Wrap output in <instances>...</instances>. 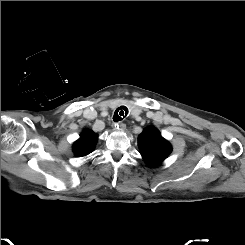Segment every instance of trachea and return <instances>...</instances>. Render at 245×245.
Wrapping results in <instances>:
<instances>
[{
    "mask_svg": "<svg viewBox=\"0 0 245 245\" xmlns=\"http://www.w3.org/2000/svg\"><path fill=\"white\" fill-rule=\"evenodd\" d=\"M128 115V108L126 106H120L115 110L113 120L115 122L121 121Z\"/></svg>",
    "mask_w": 245,
    "mask_h": 245,
    "instance_id": "3493384b",
    "label": "trachea"
}]
</instances>
